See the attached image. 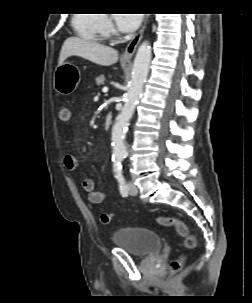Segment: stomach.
Segmentation results:
<instances>
[{
	"instance_id": "1",
	"label": "stomach",
	"mask_w": 252,
	"mask_h": 303,
	"mask_svg": "<svg viewBox=\"0 0 252 303\" xmlns=\"http://www.w3.org/2000/svg\"><path fill=\"white\" fill-rule=\"evenodd\" d=\"M81 81L80 70L71 63L58 65L54 75V88L62 95H69L76 90Z\"/></svg>"
}]
</instances>
